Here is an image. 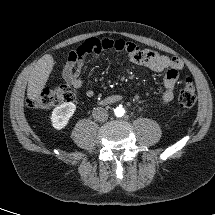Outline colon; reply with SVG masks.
Returning a JSON list of instances; mask_svg holds the SVG:
<instances>
[{"label":"colon","instance_id":"1","mask_svg":"<svg viewBox=\"0 0 215 215\" xmlns=\"http://www.w3.org/2000/svg\"><path fill=\"white\" fill-rule=\"evenodd\" d=\"M75 99V94L68 86L55 89H44L39 95L29 101L31 107L49 109L62 103H70ZM196 102V90L190 77L185 79L184 87L179 94V104L184 108H191Z\"/></svg>","mask_w":215,"mask_h":215}]
</instances>
